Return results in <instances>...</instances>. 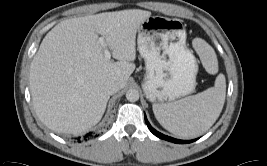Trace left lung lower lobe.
<instances>
[{"label": "left lung lower lobe", "mask_w": 267, "mask_h": 166, "mask_svg": "<svg viewBox=\"0 0 267 166\" xmlns=\"http://www.w3.org/2000/svg\"><path fill=\"white\" fill-rule=\"evenodd\" d=\"M145 121H146V124H147L149 130H150L154 135H156L157 137H159V138H161V139H164V140H167V141H170V142H173V143H179V144H185V143H190V142L195 141V140H189V141L178 140V139H175V138H172V137L163 135V134H161L160 132L156 131V130L149 124V122H148L146 116H145Z\"/></svg>", "instance_id": "1"}]
</instances>
